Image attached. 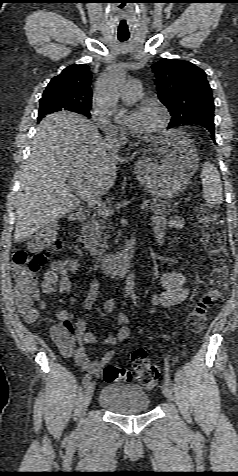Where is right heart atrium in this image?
Instances as JSON below:
<instances>
[{
    "mask_svg": "<svg viewBox=\"0 0 238 476\" xmlns=\"http://www.w3.org/2000/svg\"><path fill=\"white\" fill-rule=\"evenodd\" d=\"M91 116L94 123L103 131L106 136H120L118 128L109 121L107 115L103 111L93 108L91 111Z\"/></svg>",
    "mask_w": 238,
    "mask_h": 476,
    "instance_id": "obj_1",
    "label": "right heart atrium"
}]
</instances>
